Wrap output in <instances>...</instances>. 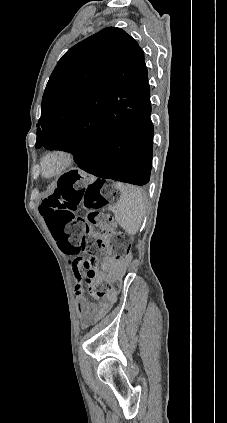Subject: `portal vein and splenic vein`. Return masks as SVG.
Instances as JSON below:
<instances>
[{
  "label": "portal vein and splenic vein",
  "mask_w": 227,
  "mask_h": 423,
  "mask_svg": "<svg viewBox=\"0 0 227 423\" xmlns=\"http://www.w3.org/2000/svg\"><path fill=\"white\" fill-rule=\"evenodd\" d=\"M111 212L115 213L116 212V206L115 205H111L110 206Z\"/></svg>",
  "instance_id": "1"
}]
</instances>
